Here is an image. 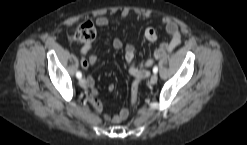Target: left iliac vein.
Returning <instances> with one entry per match:
<instances>
[{"label":"left iliac vein","instance_id":"obj_1","mask_svg":"<svg viewBox=\"0 0 247 145\" xmlns=\"http://www.w3.org/2000/svg\"><path fill=\"white\" fill-rule=\"evenodd\" d=\"M157 80H158V76H157L156 73H154V74L151 76L150 80H149V84H150V85H154V84L157 83Z\"/></svg>","mask_w":247,"mask_h":145}]
</instances>
